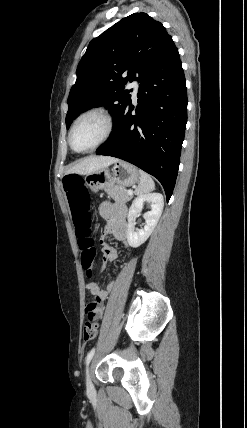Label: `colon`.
<instances>
[{"label":"colon","mask_w":247,"mask_h":428,"mask_svg":"<svg viewBox=\"0 0 247 428\" xmlns=\"http://www.w3.org/2000/svg\"><path fill=\"white\" fill-rule=\"evenodd\" d=\"M64 189L76 226L81 250V264L87 277H92V267L96 255L95 242L91 237V216L89 212V194L84 180L77 175H68L63 180ZM105 301L102 298H87L84 313L87 321L83 329L85 341H92L98 334V320L103 316Z\"/></svg>","instance_id":"1"}]
</instances>
